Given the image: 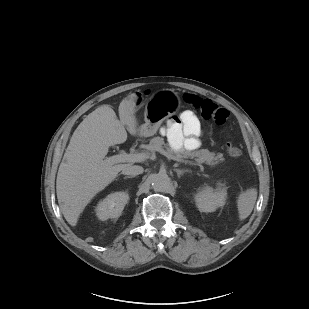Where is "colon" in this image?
I'll use <instances>...</instances> for the list:
<instances>
[{
  "mask_svg": "<svg viewBox=\"0 0 309 309\" xmlns=\"http://www.w3.org/2000/svg\"><path fill=\"white\" fill-rule=\"evenodd\" d=\"M184 100L186 104L192 107L201 118L205 120H213L218 126L225 125L229 118V112L226 108L209 99L193 94H186ZM226 149L231 157H238L242 154V149L237 142H228Z\"/></svg>",
  "mask_w": 309,
  "mask_h": 309,
  "instance_id": "colon-1",
  "label": "colon"
}]
</instances>
